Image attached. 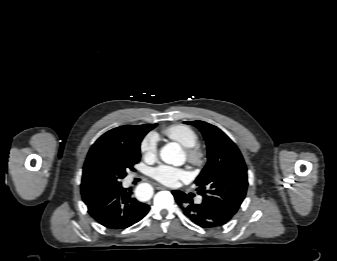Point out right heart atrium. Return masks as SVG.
<instances>
[{
	"label": "right heart atrium",
	"mask_w": 337,
	"mask_h": 261,
	"mask_svg": "<svg viewBox=\"0 0 337 261\" xmlns=\"http://www.w3.org/2000/svg\"><path fill=\"white\" fill-rule=\"evenodd\" d=\"M141 153L148 159H154L157 155V136L148 134L141 143Z\"/></svg>",
	"instance_id": "d8ad5b80"
}]
</instances>
